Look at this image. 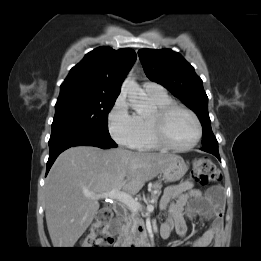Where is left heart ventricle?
Listing matches in <instances>:
<instances>
[{
    "label": "left heart ventricle",
    "instance_id": "obj_1",
    "mask_svg": "<svg viewBox=\"0 0 261 261\" xmlns=\"http://www.w3.org/2000/svg\"><path fill=\"white\" fill-rule=\"evenodd\" d=\"M165 133L172 144L185 146L194 140L196 125L189 114L181 110H176L166 120Z\"/></svg>",
    "mask_w": 261,
    "mask_h": 261
}]
</instances>
